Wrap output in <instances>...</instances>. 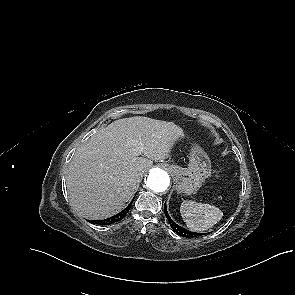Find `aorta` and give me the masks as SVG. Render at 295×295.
Returning a JSON list of instances; mask_svg holds the SVG:
<instances>
[{
	"label": "aorta",
	"mask_w": 295,
	"mask_h": 295,
	"mask_svg": "<svg viewBox=\"0 0 295 295\" xmlns=\"http://www.w3.org/2000/svg\"><path fill=\"white\" fill-rule=\"evenodd\" d=\"M170 184L169 173L162 168H153L149 171L146 186L153 192H163Z\"/></svg>",
	"instance_id": "obj_1"
}]
</instances>
